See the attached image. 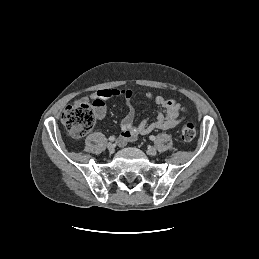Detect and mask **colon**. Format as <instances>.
I'll return each mask as SVG.
<instances>
[{"label":"colon","mask_w":259,"mask_h":259,"mask_svg":"<svg viewBox=\"0 0 259 259\" xmlns=\"http://www.w3.org/2000/svg\"><path fill=\"white\" fill-rule=\"evenodd\" d=\"M62 123L75 137L86 135L95 124V111L88 103H75L66 107L61 116ZM196 135L195 126L185 123L181 127V137L185 141L192 140Z\"/></svg>","instance_id":"obj_1"}]
</instances>
